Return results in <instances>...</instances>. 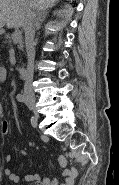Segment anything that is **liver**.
I'll return each mask as SVG.
<instances>
[{
  "mask_svg": "<svg viewBox=\"0 0 119 185\" xmlns=\"http://www.w3.org/2000/svg\"><path fill=\"white\" fill-rule=\"evenodd\" d=\"M32 8L46 10L55 5L58 0H28ZM25 5L23 0H0V28L5 24L8 28L23 25Z\"/></svg>",
  "mask_w": 119,
  "mask_h": 185,
  "instance_id": "liver-1",
  "label": "liver"
}]
</instances>
